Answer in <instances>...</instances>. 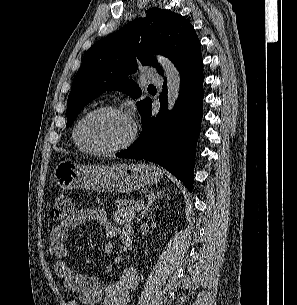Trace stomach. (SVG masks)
Returning <instances> with one entry per match:
<instances>
[{
  "label": "stomach",
  "instance_id": "0dacf381",
  "mask_svg": "<svg viewBox=\"0 0 297 305\" xmlns=\"http://www.w3.org/2000/svg\"><path fill=\"white\" fill-rule=\"evenodd\" d=\"M162 177L163 172L159 167L145 163L81 165L65 160L54 169V180L62 190L84 188L130 193L155 184Z\"/></svg>",
  "mask_w": 297,
  "mask_h": 305
}]
</instances>
